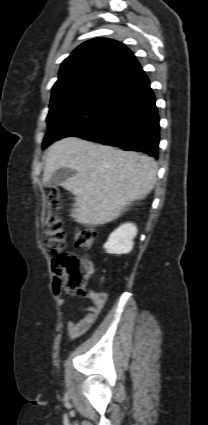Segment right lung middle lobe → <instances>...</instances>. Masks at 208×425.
<instances>
[{
  "label": "right lung middle lobe",
  "instance_id": "1",
  "mask_svg": "<svg viewBox=\"0 0 208 425\" xmlns=\"http://www.w3.org/2000/svg\"><path fill=\"white\" fill-rule=\"evenodd\" d=\"M103 90H81L71 94H68L64 97H61L57 100L50 102V110L47 116V124L49 127L59 119L61 116L77 111L78 109L86 106L94 99H96ZM51 144L50 138L45 136L43 141V148Z\"/></svg>",
  "mask_w": 208,
  "mask_h": 425
}]
</instances>
